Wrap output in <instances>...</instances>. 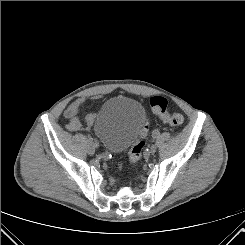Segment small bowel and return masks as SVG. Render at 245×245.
Masks as SVG:
<instances>
[{"label":"small bowel","mask_w":245,"mask_h":245,"mask_svg":"<svg viewBox=\"0 0 245 245\" xmlns=\"http://www.w3.org/2000/svg\"><path fill=\"white\" fill-rule=\"evenodd\" d=\"M102 95H96L93 97V99H100L102 98ZM86 99H78L76 100L74 103L71 104V106L69 107V109L67 110L66 113V117L68 119V123L66 125V128L71 131V132H76L78 130H80L81 126H82V121L79 118V113L82 109V107L85 105L86 103ZM83 121L85 123H87L89 126L92 125L93 121H94V117L92 114H87Z\"/></svg>","instance_id":"obj_1"}]
</instances>
